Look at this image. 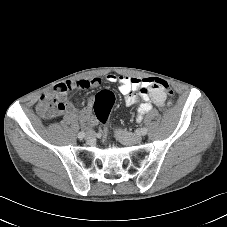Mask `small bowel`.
<instances>
[{"label": "small bowel", "instance_id": "c3829d8e", "mask_svg": "<svg viewBox=\"0 0 227 227\" xmlns=\"http://www.w3.org/2000/svg\"><path fill=\"white\" fill-rule=\"evenodd\" d=\"M106 80L118 86L126 106H137L138 121H141L153 106L162 107L166 103L167 92L157 83V79L108 74ZM100 84V78L60 83L41 97L37 111L46 120L67 115L78 119L84 126H90L94 123L91 117L93 99L88 100V105L83 110H78L67 96V92L73 88L84 89Z\"/></svg>", "mask_w": 227, "mask_h": 227}]
</instances>
